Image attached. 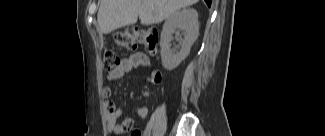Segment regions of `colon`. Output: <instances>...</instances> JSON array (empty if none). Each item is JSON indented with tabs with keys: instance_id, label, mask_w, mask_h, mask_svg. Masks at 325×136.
<instances>
[{
	"instance_id": "colon-1",
	"label": "colon",
	"mask_w": 325,
	"mask_h": 136,
	"mask_svg": "<svg viewBox=\"0 0 325 136\" xmlns=\"http://www.w3.org/2000/svg\"><path fill=\"white\" fill-rule=\"evenodd\" d=\"M116 46L127 51H135L143 46L149 53L153 54L158 47V33L154 28L128 27L117 32L114 36ZM120 60L116 52L106 50L103 57V69L111 71L118 66ZM131 136H141L139 131L132 132Z\"/></svg>"
}]
</instances>
